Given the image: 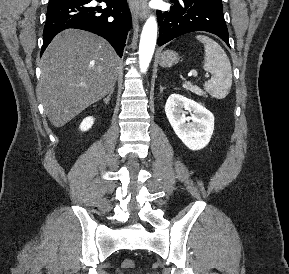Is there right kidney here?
Here are the masks:
<instances>
[{"label":"right kidney","mask_w":289,"mask_h":274,"mask_svg":"<svg viewBox=\"0 0 289 274\" xmlns=\"http://www.w3.org/2000/svg\"><path fill=\"white\" fill-rule=\"evenodd\" d=\"M93 123H94L93 117H91V116L86 117L85 119H83L79 128L81 131H87L92 127Z\"/></svg>","instance_id":"ca27d5eb"}]
</instances>
